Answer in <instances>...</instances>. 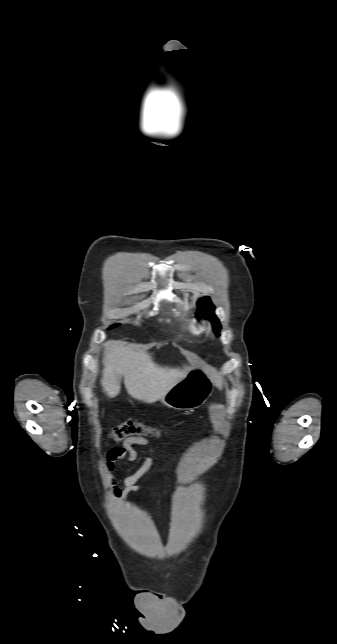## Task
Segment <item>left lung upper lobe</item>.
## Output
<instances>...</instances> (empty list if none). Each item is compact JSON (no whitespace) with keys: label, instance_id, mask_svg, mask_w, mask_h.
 Here are the masks:
<instances>
[{"label":"left lung upper lobe","instance_id":"left-lung-upper-lobe-1","mask_svg":"<svg viewBox=\"0 0 337 644\" xmlns=\"http://www.w3.org/2000/svg\"><path fill=\"white\" fill-rule=\"evenodd\" d=\"M198 304H199L200 308L202 310H204L206 313H208V314L213 313L214 306L210 302L209 297H205V298L200 299ZM211 320L214 322V324L216 326V331L220 330V325H219L218 320L214 316L211 317Z\"/></svg>","mask_w":337,"mask_h":644}]
</instances>
